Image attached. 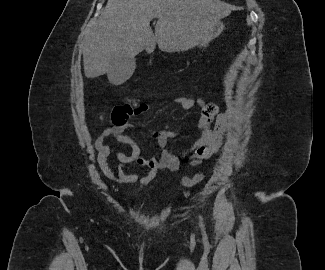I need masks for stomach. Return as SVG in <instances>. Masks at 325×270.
<instances>
[{"label": "stomach", "mask_w": 325, "mask_h": 270, "mask_svg": "<svg viewBox=\"0 0 325 270\" xmlns=\"http://www.w3.org/2000/svg\"><path fill=\"white\" fill-rule=\"evenodd\" d=\"M223 29H224L223 23L220 21H217L216 24L214 25V27L212 29H210L206 38L201 43V45L206 46L209 43V41L218 37L222 33Z\"/></svg>", "instance_id": "0dacf381"}]
</instances>
